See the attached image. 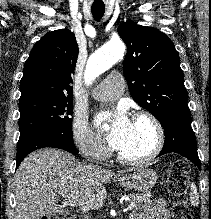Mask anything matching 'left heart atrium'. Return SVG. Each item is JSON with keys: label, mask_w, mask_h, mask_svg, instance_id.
Here are the masks:
<instances>
[{"label": "left heart atrium", "mask_w": 211, "mask_h": 219, "mask_svg": "<svg viewBox=\"0 0 211 219\" xmlns=\"http://www.w3.org/2000/svg\"><path fill=\"white\" fill-rule=\"evenodd\" d=\"M109 123V130L106 134L108 143L116 150L122 149L127 142L133 123L123 110H119L114 115L101 114L96 118V124Z\"/></svg>", "instance_id": "left-heart-atrium-1"}]
</instances>
